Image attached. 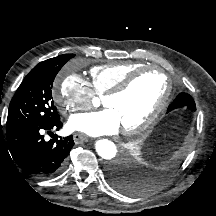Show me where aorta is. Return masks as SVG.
<instances>
[{"instance_id":"aorta-1","label":"aorta","mask_w":216,"mask_h":216,"mask_svg":"<svg viewBox=\"0 0 216 216\" xmlns=\"http://www.w3.org/2000/svg\"><path fill=\"white\" fill-rule=\"evenodd\" d=\"M95 149L98 155L106 160L113 159L117 153L116 145L107 139L98 140L95 144Z\"/></svg>"}]
</instances>
